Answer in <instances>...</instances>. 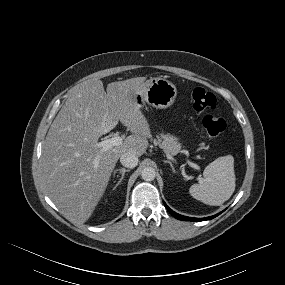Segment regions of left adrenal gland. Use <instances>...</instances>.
Segmentation results:
<instances>
[{"instance_id": "1", "label": "left adrenal gland", "mask_w": 285, "mask_h": 285, "mask_svg": "<svg viewBox=\"0 0 285 285\" xmlns=\"http://www.w3.org/2000/svg\"><path fill=\"white\" fill-rule=\"evenodd\" d=\"M165 163H168V164L170 165V167H171L172 172H173V173H176V171H175V169H174V166H173V164H172L171 161L166 160Z\"/></svg>"}]
</instances>
